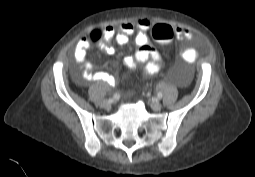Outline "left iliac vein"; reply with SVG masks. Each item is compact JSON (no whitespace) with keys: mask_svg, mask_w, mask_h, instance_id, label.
Returning <instances> with one entry per match:
<instances>
[{"mask_svg":"<svg viewBox=\"0 0 255 177\" xmlns=\"http://www.w3.org/2000/svg\"><path fill=\"white\" fill-rule=\"evenodd\" d=\"M151 108L154 110V111H159L161 110L162 108V104L160 102H152L151 103Z\"/></svg>","mask_w":255,"mask_h":177,"instance_id":"1","label":"left iliac vein"}]
</instances>
